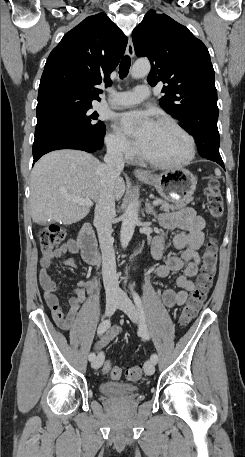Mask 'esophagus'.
Wrapping results in <instances>:
<instances>
[{"label": "esophagus", "mask_w": 245, "mask_h": 457, "mask_svg": "<svg viewBox=\"0 0 245 457\" xmlns=\"http://www.w3.org/2000/svg\"><path fill=\"white\" fill-rule=\"evenodd\" d=\"M126 53H127V55L129 57H134V46H133L131 38H129V41H128V44H127V48H126ZM134 175L142 176V177H149L150 173L146 172L145 170L135 169L134 170Z\"/></svg>", "instance_id": "obj_1"}]
</instances>
